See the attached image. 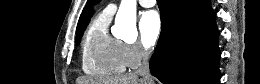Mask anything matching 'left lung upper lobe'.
<instances>
[{
  "instance_id": "5c2ea615",
  "label": "left lung upper lobe",
  "mask_w": 260,
  "mask_h": 84,
  "mask_svg": "<svg viewBox=\"0 0 260 84\" xmlns=\"http://www.w3.org/2000/svg\"><path fill=\"white\" fill-rule=\"evenodd\" d=\"M100 0H88L89 4H95L98 3Z\"/></svg>"
}]
</instances>
